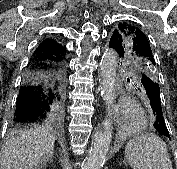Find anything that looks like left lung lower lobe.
<instances>
[{
    "label": "left lung lower lobe",
    "instance_id": "0a47b994",
    "mask_svg": "<svg viewBox=\"0 0 177 169\" xmlns=\"http://www.w3.org/2000/svg\"><path fill=\"white\" fill-rule=\"evenodd\" d=\"M139 74L141 76V79L138 84L139 89L143 91L148 97L150 106L152 108V112L155 116V121L153 126L160 134L171 139L162 113L159 85L156 81L151 79L141 70H139Z\"/></svg>",
    "mask_w": 177,
    "mask_h": 169
}]
</instances>
